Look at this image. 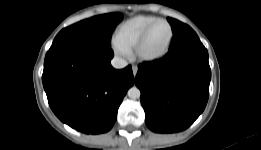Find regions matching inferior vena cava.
<instances>
[{
    "mask_svg": "<svg viewBox=\"0 0 261 150\" xmlns=\"http://www.w3.org/2000/svg\"><path fill=\"white\" fill-rule=\"evenodd\" d=\"M111 65L116 68V69H122V68H125L128 63L126 60H124L123 58H120V57H114L112 60H111Z\"/></svg>",
    "mask_w": 261,
    "mask_h": 150,
    "instance_id": "1",
    "label": "inferior vena cava"
}]
</instances>
